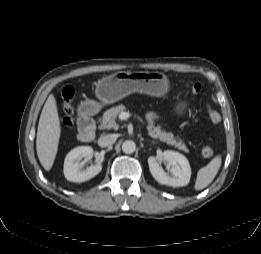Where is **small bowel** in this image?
I'll return each mask as SVG.
<instances>
[{"label": "small bowel", "instance_id": "1", "mask_svg": "<svg viewBox=\"0 0 261 254\" xmlns=\"http://www.w3.org/2000/svg\"><path fill=\"white\" fill-rule=\"evenodd\" d=\"M158 118L157 114H155L154 112H149L147 114V119L148 120H156Z\"/></svg>", "mask_w": 261, "mask_h": 254}]
</instances>
